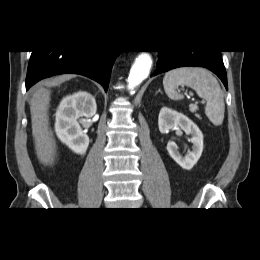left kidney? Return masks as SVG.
Returning a JSON list of instances; mask_svg holds the SVG:
<instances>
[{
    "mask_svg": "<svg viewBox=\"0 0 260 260\" xmlns=\"http://www.w3.org/2000/svg\"><path fill=\"white\" fill-rule=\"evenodd\" d=\"M158 126L161 133H167L174 127H180L186 134L191 135L192 150L186 156L180 154L178 146L173 141L168 142L167 151L172 159L183 169H192L203 151V134L198 126L182 113L167 107H163L160 110Z\"/></svg>",
    "mask_w": 260,
    "mask_h": 260,
    "instance_id": "left-kidney-1",
    "label": "left kidney"
}]
</instances>
